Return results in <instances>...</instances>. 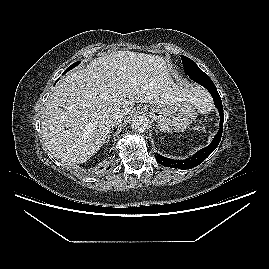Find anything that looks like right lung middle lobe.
<instances>
[{
  "label": "right lung middle lobe",
  "mask_w": 269,
  "mask_h": 269,
  "mask_svg": "<svg viewBox=\"0 0 269 269\" xmlns=\"http://www.w3.org/2000/svg\"><path fill=\"white\" fill-rule=\"evenodd\" d=\"M80 63V61L75 62L74 64H72L70 67L67 68L66 72L73 69L75 66H77Z\"/></svg>",
  "instance_id": "1"
}]
</instances>
